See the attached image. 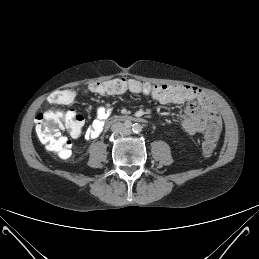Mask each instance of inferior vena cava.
Wrapping results in <instances>:
<instances>
[{"label": "inferior vena cava", "mask_w": 259, "mask_h": 259, "mask_svg": "<svg viewBox=\"0 0 259 259\" xmlns=\"http://www.w3.org/2000/svg\"><path fill=\"white\" fill-rule=\"evenodd\" d=\"M111 130L115 133L129 134V130L120 122L113 124Z\"/></svg>", "instance_id": "obj_1"}]
</instances>
